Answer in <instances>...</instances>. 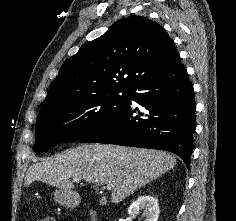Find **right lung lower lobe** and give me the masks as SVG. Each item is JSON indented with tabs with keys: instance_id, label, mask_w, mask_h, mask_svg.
Wrapping results in <instances>:
<instances>
[{
	"instance_id": "obj_1",
	"label": "right lung lower lobe",
	"mask_w": 236,
	"mask_h": 221,
	"mask_svg": "<svg viewBox=\"0 0 236 221\" xmlns=\"http://www.w3.org/2000/svg\"><path fill=\"white\" fill-rule=\"evenodd\" d=\"M131 101L114 113L96 131L81 139L82 143H106L140 148L161 149L175 153L189 166L193 151L196 103L193 86L179 55L164 69L138 82Z\"/></svg>"
}]
</instances>
